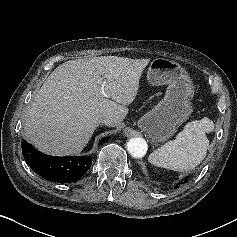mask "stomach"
Returning <instances> with one entry per match:
<instances>
[{"label":"stomach","instance_id":"stomach-1","mask_svg":"<svg viewBox=\"0 0 237 237\" xmlns=\"http://www.w3.org/2000/svg\"><path fill=\"white\" fill-rule=\"evenodd\" d=\"M147 80L153 86L168 85L164 98L138 120V127L159 144L172 137L191 115L194 85L180 64L166 58L151 61Z\"/></svg>","mask_w":237,"mask_h":237}]
</instances>
